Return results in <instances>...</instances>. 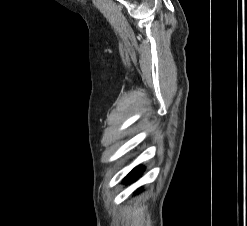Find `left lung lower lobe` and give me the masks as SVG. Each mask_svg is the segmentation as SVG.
I'll return each mask as SVG.
<instances>
[{
    "mask_svg": "<svg viewBox=\"0 0 247 226\" xmlns=\"http://www.w3.org/2000/svg\"><path fill=\"white\" fill-rule=\"evenodd\" d=\"M143 171L142 168H135L124 180L125 183H131L134 180H136L140 175L141 172Z\"/></svg>",
    "mask_w": 247,
    "mask_h": 226,
    "instance_id": "1",
    "label": "left lung lower lobe"
}]
</instances>
